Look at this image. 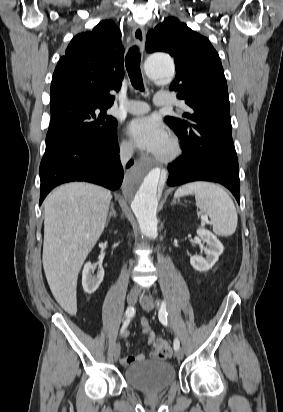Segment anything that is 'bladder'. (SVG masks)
<instances>
[{
  "instance_id": "1",
  "label": "bladder",
  "mask_w": 283,
  "mask_h": 412,
  "mask_svg": "<svg viewBox=\"0 0 283 412\" xmlns=\"http://www.w3.org/2000/svg\"><path fill=\"white\" fill-rule=\"evenodd\" d=\"M124 378L128 384L139 390L158 392L175 382L176 372L167 361H149L127 367Z\"/></svg>"
}]
</instances>
